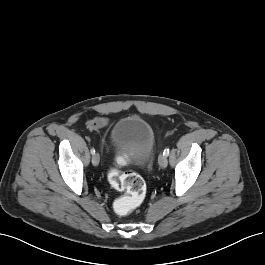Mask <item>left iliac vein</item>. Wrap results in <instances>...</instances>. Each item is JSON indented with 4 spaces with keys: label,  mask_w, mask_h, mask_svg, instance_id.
Masks as SVG:
<instances>
[{
    "label": "left iliac vein",
    "mask_w": 265,
    "mask_h": 265,
    "mask_svg": "<svg viewBox=\"0 0 265 265\" xmlns=\"http://www.w3.org/2000/svg\"><path fill=\"white\" fill-rule=\"evenodd\" d=\"M158 163H159V166L164 169L167 167L168 165V160H167V157L163 154H161L158 158Z\"/></svg>",
    "instance_id": "1"
}]
</instances>
